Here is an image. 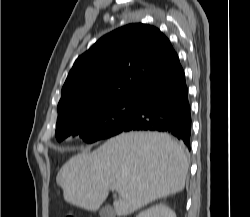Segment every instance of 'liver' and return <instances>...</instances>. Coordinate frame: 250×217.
Segmentation results:
<instances>
[{"instance_id": "obj_1", "label": "liver", "mask_w": 250, "mask_h": 217, "mask_svg": "<svg viewBox=\"0 0 250 217\" xmlns=\"http://www.w3.org/2000/svg\"><path fill=\"white\" fill-rule=\"evenodd\" d=\"M188 167L184 147L170 135L129 132L70 158L57 183L67 203L88 211H97L113 186L114 211L127 216L182 191Z\"/></svg>"}]
</instances>
